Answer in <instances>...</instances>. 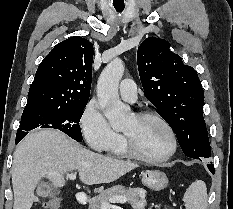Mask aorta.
<instances>
[{"label": "aorta", "instance_id": "aorta-1", "mask_svg": "<svg viewBox=\"0 0 233 209\" xmlns=\"http://www.w3.org/2000/svg\"><path fill=\"white\" fill-rule=\"evenodd\" d=\"M123 73V62L114 59L103 69L97 83L99 104L114 130H122L132 117L130 109L122 104L118 95Z\"/></svg>", "mask_w": 233, "mask_h": 209}]
</instances>
